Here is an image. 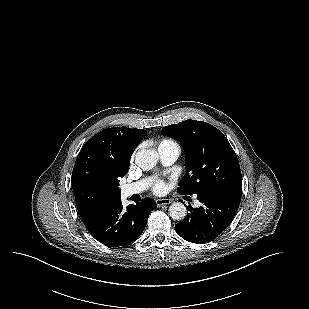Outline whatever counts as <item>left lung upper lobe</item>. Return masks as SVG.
<instances>
[{
    "mask_svg": "<svg viewBox=\"0 0 309 309\" xmlns=\"http://www.w3.org/2000/svg\"><path fill=\"white\" fill-rule=\"evenodd\" d=\"M164 136L176 138L186 152V174L180 194L242 192L237 156L224 134L209 123L186 120L162 128Z\"/></svg>",
    "mask_w": 309,
    "mask_h": 309,
    "instance_id": "5c2ea615",
    "label": "left lung upper lobe"
}]
</instances>
